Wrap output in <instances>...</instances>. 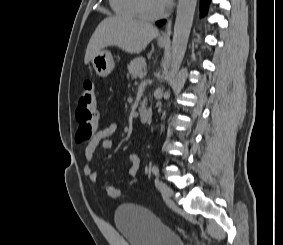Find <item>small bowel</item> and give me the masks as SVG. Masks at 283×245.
Here are the masks:
<instances>
[{
	"label": "small bowel",
	"instance_id": "small-bowel-1",
	"mask_svg": "<svg viewBox=\"0 0 283 245\" xmlns=\"http://www.w3.org/2000/svg\"><path fill=\"white\" fill-rule=\"evenodd\" d=\"M118 128L119 124L117 122L109 124L104 129L98 131L83 149V157L86 161L83 168V174L92 184H97L99 182V177L91 166L95 150L98 146H101L105 150L111 149L113 146L111 137L116 133ZM126 160L130 163L128 174L132 177L136 176L141 166L139 156L137 154H129L126 157Z\"/></svg>",
	"mask_w": 283,
	"mask_h": 245
}]
</instances>
